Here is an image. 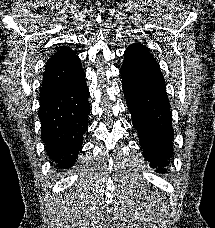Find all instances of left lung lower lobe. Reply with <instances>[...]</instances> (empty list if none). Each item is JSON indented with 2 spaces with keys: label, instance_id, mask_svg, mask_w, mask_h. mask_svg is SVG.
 <instances>
[{
  "label": "left lung lower lobe",
  "instance_id": "1",
  "mask_svg": "<svg viewBox=\"0 0 215 228\" xmlns=\"http://www.w3.org/2000/svg\"><path fill=\"white\" fill-rule=\"evenodd\" d=\"M124 57L122 88L140 146L150 166L165 173L163 167L173 154L174 130L164 78L148 50L127 49Z\"/></svg>",
  "mask_w": 215,
  "mask_h": 228
}]
</instances>
